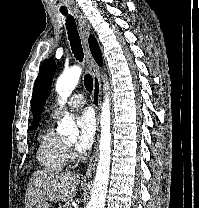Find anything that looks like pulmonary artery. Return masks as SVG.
I'll use <instances>...</instances> for the list:
<instances>
[{
  "label": "pulmonary artery",
  "instance_id": "1",
  "mask_svg": "<svg viewBox=\"0 0 199 208\" xmlns=\"http://www.w3.org/2000/svg\"><path fill=\"white\" fill-rule=\"evenodd\" d=\"M86 103V98L81 93L73 94L66 103V107L68 108H80L84 106ZM62 113V108L57 106L53 111V117H58L59 114Z\"/></svg>",
  "mask_w": 199,
  "mask_h": 208
}]
</instances>
